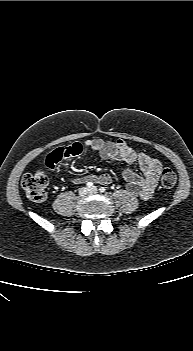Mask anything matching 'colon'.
<instances>
[{
	"label": "colon",
	"instance_id": "5ec220e1",
	"mask_svg": "<svg viewBox=\"0 0 193 351\" xmlns=\"http://www.w3.org/2000/svg\"><path fill=\"white\" fill-rule=\"evenodd\" d=\"M60 163V162H59ZM177 182L175 172L166 168L161 173L160 183L165 188H172ZM21 185L25 193L33 200L40 201L46 196L48 178L42 171L27 173L22 177Z\"/></svg>",
	"mask_w": 193,
	"mask_h": 351
}]
</instances>
